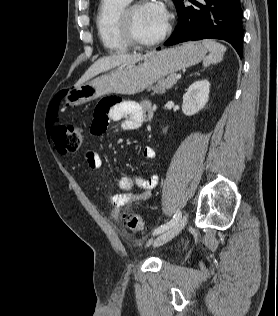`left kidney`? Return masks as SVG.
Wrapping results in <instances>:
<instances>
[{"label":"left kidney","mask_w":278,"mask_h":316,"mask_svg":"<svg viewBox=\"0 0 278 316\" xmlns=\"http://www.w3.org/2000/svg\"><path fill=\"white\" fill-rule=\"evenodd\" d=\"M210 83L207 80L196 81L183 95L182 111L191 116L203 109L208 102Z\"/></svg>","instance_id":"obj_1"}]
</instances>
